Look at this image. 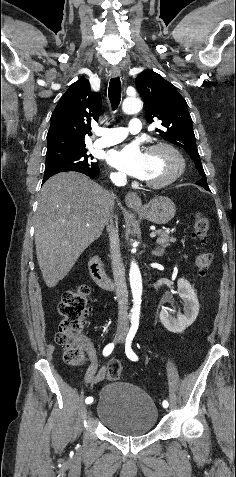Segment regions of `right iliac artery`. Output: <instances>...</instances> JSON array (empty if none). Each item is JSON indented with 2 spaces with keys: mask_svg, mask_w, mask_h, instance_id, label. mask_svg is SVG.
<instances>
[{
  "mask_svg": "<svg viewBox=\"0 0 236 477\" xmlns=\"http://www.w3.org/2000/svg\"><path fill=\"white\" fill-rule=\"evenodd\" d=\"M114 349V343H109L108 345L105 346V348L103 349V355L104 356H109L111 354V352L113 351ZM85 403L86 404H93L94 403V400H93V397H87L85 399Z\"/></svg>",
  "mask_w": 236,
  "mask_h": 477,
  "instance_id": "right-iliac-artery-1",
  "label": "right iliac artery"
}]
</instances>
